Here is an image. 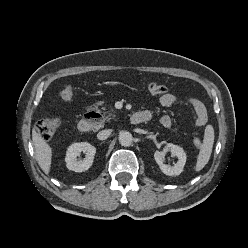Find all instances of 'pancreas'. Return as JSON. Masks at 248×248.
Here are the masks:
<instances>
[{"label":"pancreas","instance_id":"pancreas-1","mask_svg":"<svg viewBox=\"0 0 248 248\" xmlns=\"http://www.w3.org/2000/svg\"><path fill=\"white\" fill-rule=\"evenodd\" d=\"M110 116H112V114H110ZM106 119H108V120H109V118H108V117H106Z\"/></svg>","mask_w":248,"mask_h":248}]
</instances>
